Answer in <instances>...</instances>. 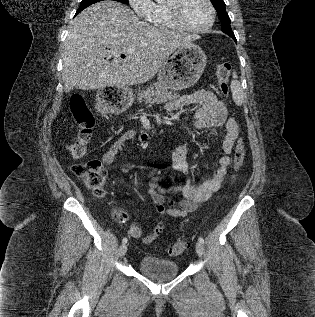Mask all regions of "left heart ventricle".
<instances>
[{
	"instance_id": "b2bd125f",
	"label": "left heart ventricle",
	"mask_w": 315,
	"mask_h": 317,
	"mask_svg": "<svg viewBox=\"0 0 315 317\" xmlns=\"http://www.w3.org/2000/svg\"><path fill=\"white\" fill-rule=\"evenodd\" d=\"M180 15L185 24L191 27H202L210 18V12L204 0H183Z\"/></svg>"
}]
</instances>
